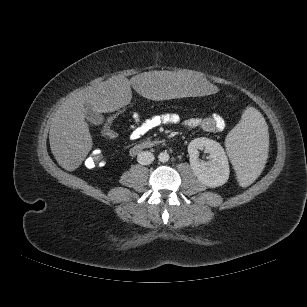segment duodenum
<instances>
[{
	"label": "duodenum",
	"instance_id": "obj_1",
	"mask_svg": "<svg viewBox=\"0 0 307 307\" xmlns=\"http://www.w3.org/2000/svg\"><path fill=\"white\" fill-rule=\"evenodd\" d=\"M158 144H159V142L152 141V140L142 141V142L137 143V144H135L134 146L131 147V154L137 155L139 152H141L145 149L153 148V147L157 146Z\"/></svg>",
	"mask_w": 307,
	"mask_h": 307
}]
</instances>
